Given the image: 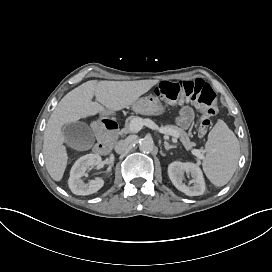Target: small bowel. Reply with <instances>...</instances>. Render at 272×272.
Returning a JSON list of instances; mask_svg holds the SVG:
<instances>
[{
	"label": "small bowel",
	"mask_w": 272,
	"mask_h": 272,
	"mask_svg": "<svg viewBox=\"0 0 272 272\" xmlns=\"http://www.w3.org/2000/svg\"><path fill=\"white\" fill-rule=\"evenodd\" d=\"M192 120H193L192 108L189 106H184L181 109L180 114L178 116L177 119L178 124L183 128H187L191 124Z\"/></svg>",
	"instance_id": "obj_1"
}]
</instances>
